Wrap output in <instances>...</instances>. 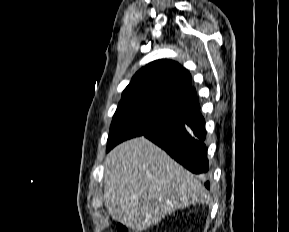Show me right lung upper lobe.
Here are the masks:
<instances>
[{
	"label": "right lung upper lobe",
	"mask_w": 289,
	"mask_h": 232,
	"mask_svg": "<svg viewBox=\"0 0 289 232\" xmlns=\"http://www.w3.org/2000/svg\"><path fill=\"white\" fill-rule=\"evenodd\" d=\"M123 100H144L183 113L199 109L191 75L170 60H158L140 69L122 93Z\"/></svg>",
	"instance_id": "right-lung-upper-lobe-1"
}]
</instances>
